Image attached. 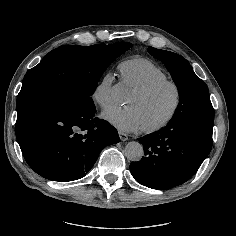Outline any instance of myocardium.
Wrapping results in <instances>:
<instances>
[{
    "mask_svg": "<svg viewBox=\"0 0 236 236\" xmlns=\"http://www.w3.org/2000/svg\"><path fill=\"white\" fill-rule=\"evenodd\" d=\"M164 86H171L175 92V103L171 110V112L168 114V116L163 119L161 122L150 126V127H142L143 132L145 133H155L158 132L164 128H166L176 117L178 114L181 104H182V90L177 82L170 79L165 80H159L156 82H153L152 84L141 88L134 90V93L140 97H146L151 95L152 93L156 92L160 88Z\"/></svg>",
    "mask_w": 236,
    "mask_h": 236,
    "instance_id": "myocardium-1",
    "label": "myocardium"
}]
</instances>
